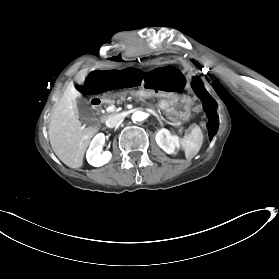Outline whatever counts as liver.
I'll return each mask as SVG.
<instances>
[{
	"label": "liver",
	"instance_id": "obj_1",
	"mask_svg": "<svg viewBox=\"0 0 279 279\" xmlns=\"http://www.w3.org/2000/svg\"><path fill=\"white\" fill-rule=\"evenodd\" d=\"M85 76L86 72L82 71L76 75L75 81L81 84ZM79 97L81 93L75 89L73 82H70L52 109L48 130L53 151L70 168L82 166L84 153L97 132L95 128L82 126L79 121L76 102Z\"/></svg>",
	"mask_w": 279,
	"mask_h": 279
}]
</instances>
